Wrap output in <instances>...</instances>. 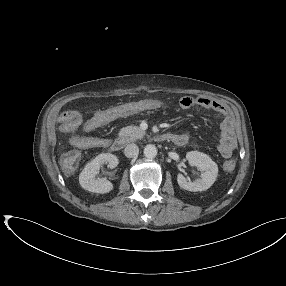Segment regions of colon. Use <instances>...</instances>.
Here are the masks:
<instances>
[{"instance_id":"1","label":"colon","mask_w":286,"mask_h":286,"mask_svg":"<svg viewBox=\"0 0 286 286\" xmlns=\"http://www.w3.org/2000/svg\"><path fill=\"white\" fill-rule=\"evenodd\" d=\"M113 113L112 110H106L103 112L104 117H109ZM72 116L76 119H78L77 112H72ZM79 162V154L76 151H70L68 152L63 158H62V164L66 169H73L74 167L77 166ZM235 166L234 161L230 160L225 164V168L228 171L233 170Z\"/></svg>"}]
</instances>
